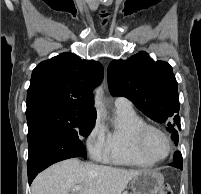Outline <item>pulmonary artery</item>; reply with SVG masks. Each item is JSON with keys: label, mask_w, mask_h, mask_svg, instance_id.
Returning a JSON list of instances; mask_svg holds the SVG:
<instances>
[{"label": "pulmonary artery", "mask_w": 201, "mask_h": 194, "mask_svg": "<svg viewBox=\"0 0 201 194\" xmlns=\"http://www.w3.org/2000/svg\"><path fill=\"white\" fill-rule=\"evenodd\" d=\"M114 102L116 106L132 107L131 102L125 97H116Z\"/></svg>", "instance_id": "obj_1"}]
</instances>
